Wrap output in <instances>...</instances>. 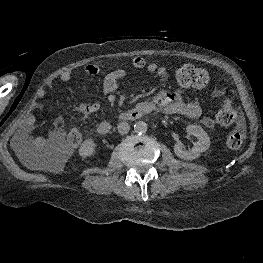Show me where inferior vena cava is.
I'll use <instances>...</instances> for the list:
<instances>
[{
  "instance_id": "inferior-vena-cava-1",
  "label": "inferior vena cava",
  "mask_w": 263,
  "mask_h": 263,
  "mask_svg": "<svg viewBox=\"0 0 263 263\" xmlns=\"http://www.w3.org/2000/svg\"><path fill=\"white\" fill-rule=\"evenodd\" d=\"M118 132L121 135L127 134L130 130V125L127 122H120L117 126Z\"/></svg>"
}]
</instances>
